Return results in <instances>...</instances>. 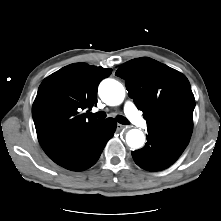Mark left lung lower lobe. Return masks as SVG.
<instances>
[{"label": "left lung lower lobe", "mask_w": 221, "mask_h": 221, "mask_svg": "<svg viewBox=\"0 0 221 221\" xmlns=\"http://www.w3.org/2000/svg\"><path fill=\"white\" fill-rule=\"evenodd\" d=\"M183 151L166 140L148 135L145 146L132 151V157L141 168L148 171H158L172 165Z\"/></svg>", "instance_id": "left-lung-lower-lobe-1"}]
</instances>
